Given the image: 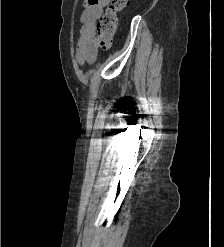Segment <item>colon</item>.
<instances>
[{
  "label": "colon",
  "instance_id": "5ec220e1",
  "mask_svg": "<svg viewBox=\"0 0 224 247\" xmlns=\"http://www.w3.org/2000/svg\"><path fill=\"white\" fill-rule=\"evenodd\" d=\"M129 0H111L105 13L100 17L97 24L98 45L106 50L112 45L117 29L119 13L128 5Z\"/></svg>",
  "mask_w": 224,
  "mask_h": 247
}]
</instances>
